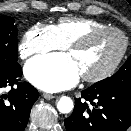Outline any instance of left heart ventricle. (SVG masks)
<instances>
[{
	"mask_svg": "<svg viewBox=\"0 0 131 131\" xmlns=\"http://www.w3.org/2000/svg\"><path fill=\"white\" fill-rule=\"evenodd\" d=\"M123 47L120 35L106 32L92 38L85 46L68 51L77 64L80 74L94 75L105 70Z\"/></svg>",
	"mask_w": 131,
	"mask_h": 131,
	"instance_id": "left-heart-ventricle-1",
	"label": "left heart ventricle"
}]
</instances>
